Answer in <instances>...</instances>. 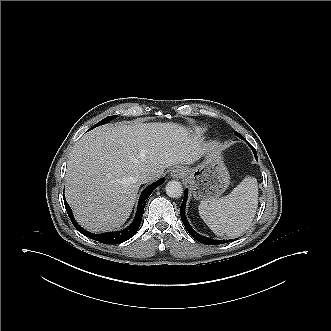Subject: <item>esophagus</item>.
Here are the masks:
<instances>
[{"mask_svg":"<svg viewBox=\"0 0 331 331\" xmlns=\"http://www.w3.org/2000/svg\"><path fill=\"white\" fill-rule=\"evenodd\" d=\"M184 175L183 170L180 167H176L171 172V177L174 179H179Z\"/></svg>","mask_w":331,"mask_h":331,"instance_id":"34e87169","label":"esophagus"}]
</instances>
